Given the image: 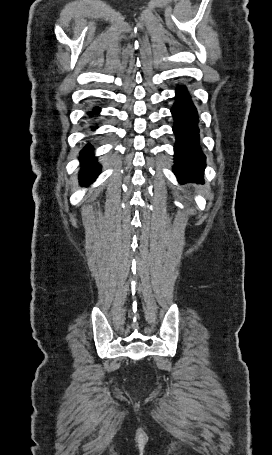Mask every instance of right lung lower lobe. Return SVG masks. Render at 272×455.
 <instances>
[{
	"label": "right lung lower lobe",
	"mask_w": 272,
	"mask_h": 455,
	"mask_svg": "<svg viewBox=\"0 0 272 455\" xmlns=\"http://www.w3.org/2000/svg\"><path fill=\"white\" fill-rule=\"evenodd\" d=\"M100 108L95 107L94 113H99ZM80 161L82 170L80 173L81 183L89 184L95 180L100 172L101 166L96 163V159L93 157V147L87 144L86 147L80 153Z\"/></svg>",
	"instance_id": "1"
}]
</instances>
